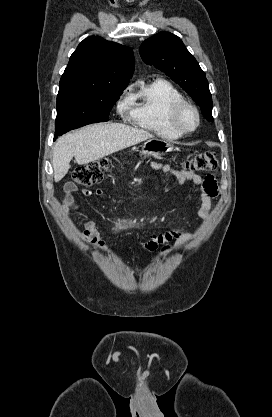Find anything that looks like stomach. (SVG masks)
Masks as SVG:
<instances>
[{"instance_id": "obj_1", "label": "stomach", "mask_w": 272, "mask_h": 417, "mask_svg": "<svg viewBox=\"0 0 272 417\" xmlns=\"http://www.w3.org/2000/svg\"><path fill=\"white\" fill-rule=\"evenodd\" d=\"M172 149L173 147L168 142L158 138H152L144 143V145L142 146V150L140 151V154L144 158L155 157L169 152Z\"/></svg>"}]
</instances>
